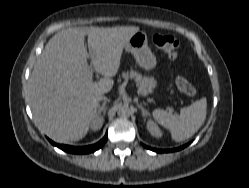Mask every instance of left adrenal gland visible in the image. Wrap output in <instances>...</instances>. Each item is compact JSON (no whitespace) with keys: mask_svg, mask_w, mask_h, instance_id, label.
Segmentation results:
<instances>
[{"mask_svg":"<svg viewBox=\"0 0 249 188\" xmlns=\"http://www.w3.org/2000/svg\"><path fill=\"white\" fill-rule=\"evenodd\" d=\"M137 106H138V108H139V109L141 110V112H142V116H143V118H144V121H146V117L149 116V112H148L146 109H144L143 106L140 105L139 103H137Z\"/></svg>","mask_w":249,"mask_h":188,"instance_id":"a2214340","label":"left adrenal gland"}]
</instances>
